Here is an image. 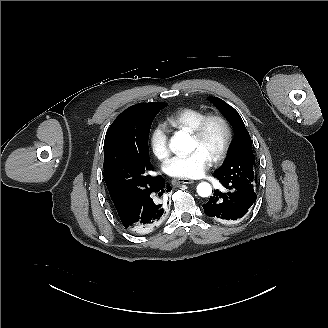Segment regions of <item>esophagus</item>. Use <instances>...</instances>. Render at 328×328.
<instances>
[{
  "label": "esophagus",
  "instance_id": "1",
  "mask_svg": "<svg viewBox=\"0 0 328 328\" xmlns=\"http://www.w3.org/2000/svg\"><path fill=\"white\" fill-rule=\"evenodd\" d=\"M177 183L191 184L194 183V180L189 178H179L177 179Z\"/></svg>",
  "mask_w": 328,
  "mask_h": 328
}]
</instances>
